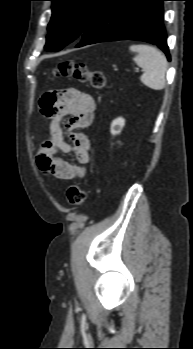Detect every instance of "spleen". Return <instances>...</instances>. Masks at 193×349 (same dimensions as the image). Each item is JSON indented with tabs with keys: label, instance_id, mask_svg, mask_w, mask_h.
<instances>
[{
	"label": "spleen",
	"instance_id": "1",
	"mask_svg": "<svg viewBox=\"0 0 193 349\" xmlns=\"http://www.w3.org/2000/svg\"><path fill=\"white\" fill-rule=\"evenodd\" d=\"M130 50L137 53L133 60L144 70L140 77L141 82L153 90H162L166 84L167 59L165 55L150 45H131Z\"/></svg>",
	"mask_w": 193,
	"mask_h": 349
}]
</instances>
